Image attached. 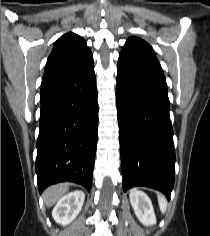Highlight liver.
Segmentation results:
<instances>
[{"label":"liver","mask_w":210,"mask_h":236,"mask_svg":"<svg viewBox=\"0 0 210 236\" xmlns=\"http://www.w3.org/2000/svg\"><path fill=\"white\" fill-rule=\"evenodd\" d=\"M68 190V184L65 183L53 185L47 188L43 193L45 205L47 207L53 206Z\"/></svg>","instance_id":"obj_1"}]
</instances>
